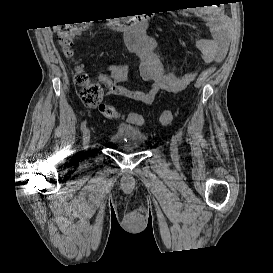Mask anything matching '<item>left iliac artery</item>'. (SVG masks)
Wrapping results in <instances>:
<instances>
[{
    "mask_svg": "<svg viewBox=\"0 0 273 273\" xmlns=\"http://www.w3.org/2000/svg\"><path fill=\"white\" fill-rule=\"evenodd\" d=\"M177 140H178L179 144L182 143V133L180 131L177 133Z\"/></svg>",
    "mask_w": 273,
    "mask_h": 273,
    "instance_id": "obj_1",
    "label": "left iliac artery"
}]
</instances>
